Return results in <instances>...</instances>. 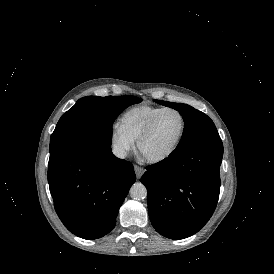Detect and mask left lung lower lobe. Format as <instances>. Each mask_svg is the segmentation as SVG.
I'll use <instances>...</instances> for the list:
<instances>
[{"label": "left lung lower lobe", "instance_id": "0a47b994", "mask_svg": "<svg viewBox=\"0 0 274 274\" xmlns=\"http://www.w3.org/2000/svg\"><path fill=\"white\" fill-rule=\"evenodd\" d=\"M222 141L198 144L146 167L150 221L170 239L198 232L212 216L220 192Z\"/></svg>", "mask_w": 274, "mask_h": 274}]
</instances>
